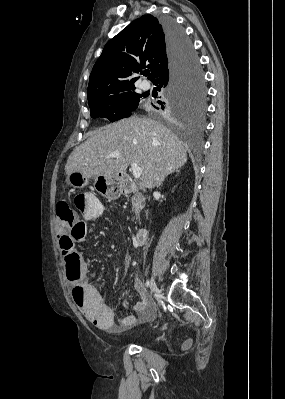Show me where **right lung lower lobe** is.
<instances>
[{
	"instance_id": "obj_1",
	"label": "right lung lower lobe",
	"mask_w": 285,
	"mask_h": 399,
	"mask_svg": "<svg viewBox=\"0 0 285 399\" xmlns=\"http://www.w3.org/2000/svg\"><path fill=\"white\" fill-rule=\"evenodd\" d=\"M161 24L166 36L168 64L152 81L159 91L161 89L170 91L182 79L187 67L191 64L194 50L184 30L173 20L164 19L161 20ZM163 104L166 103L163 102Z\"/></svg>"
}]
</instances>
